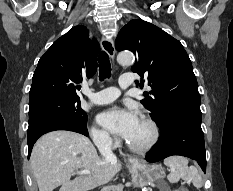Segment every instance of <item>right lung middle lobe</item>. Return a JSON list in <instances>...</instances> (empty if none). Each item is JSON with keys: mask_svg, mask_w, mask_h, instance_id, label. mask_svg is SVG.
Returning <instances> with one entry per match:
<instances>
[{"mask_svg": "<svg viewBox=\"0 0 233 191\" xmlns=\"http://www.w3.org/2000/svg\"><path fill=\"white\" fill-rule=\"evenodd\" d=\"M29 100V124L41 117L50 116L69 119L86 126L87 114L81 109L80 99L47 93Z\"/></svg>", "mask_w": 233, "mask_h": 191, "instance_id": "right-lung-middle-lobe-1", "label": "right lung middle lobe"}]
</instances>
